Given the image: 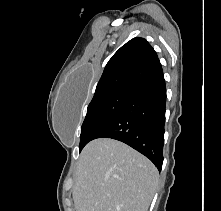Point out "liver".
<instances>
[{"mask_svg": "<svg viewBox=\"0 0 221 211\" xmlns=\"http://www.w3.org/2000/svg\"><path fill=\"white\" fill-rule=\"evenodd\" d=\"M159 173L130 146L109 138L82 150L72 195L76 211H148Z\"/></svg>", "mask_w": 221, "mask_h": 211, "instance_id": "liver-1", "label": "liver"}]
</instances>
